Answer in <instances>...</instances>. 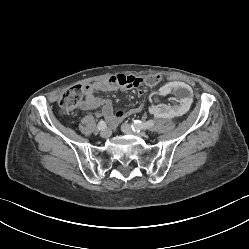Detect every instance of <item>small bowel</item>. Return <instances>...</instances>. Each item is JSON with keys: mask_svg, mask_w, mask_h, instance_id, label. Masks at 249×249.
<instances>
[{"mask_svg": "<svg viewBox=\"0 0 249 249\" xmlns=\"http://www.w3.org/2000/svg\"><path fill=\"white\" fill-rule=\"evenodd\" d=\"M134 76L117 74L109 78L87 84L84 86L85 98L80 104V108L83 110L100 109V115H102L106 121L112 125L117 126L128 115L138 113L140 108L132 109L128 112L116 111L114 112L112 103L108 99L98 98L94 96L95 92H110L115 90H128L134 88L130 81L134 79Z\"/></svg>", "mask_w": 249, "mask_h": 249, "instance_id": "obj_1", "label": "small bowel"}]
</instances>
